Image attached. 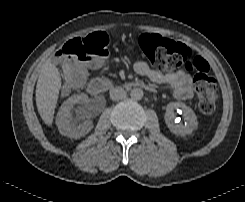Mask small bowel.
Instances as JSON below:
<instances>
[{"mask_svg":"<svg viewBox=\"0 0 245 202\" xmlns=\"http://www.w3.org/2000/svg\"><path fill=\"white\" fill-rule=\"evenodd\" d=\"M106 35L108 34L106 33ZM134 70L138 75L146 77L153 83L168 85L172 89L174 97L179 100H188L193 96L191 77L183 70L162 73L158 70L152 69L144 61L136 62L134 65ZM82 86L83 81L77 85V87ZM60 90L62 94L66 95L70 92L71 87L66 83H62Z\"/></svg>","mask_w":245,"mask_h":202,"instance_id":"c3829d8e","label":"small bowel"}]
</instances>
